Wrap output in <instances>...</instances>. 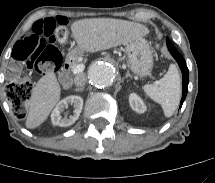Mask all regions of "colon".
<instances>
[{"label": "colon", "instance_id": "obj_1", "mask_svg": "<svg viewBox=\"0 0 215 183\" xmlns=\"http://www.w3.org/2000/svg\"><path fill=\"white\" fill-rule=\"evenodd\" d=\"M67 27L68 22L62 16L38 21L12 49L6 95L17 118L26 116V102L32 92V84L26 78L27 65L38 73L57 70L62 58L54 44L65 39Z\"/></svg>", "mask_w": 215, "mask_h": 183}]
</instances>
